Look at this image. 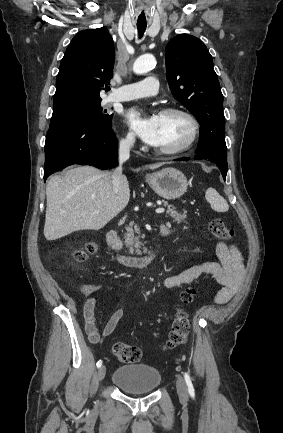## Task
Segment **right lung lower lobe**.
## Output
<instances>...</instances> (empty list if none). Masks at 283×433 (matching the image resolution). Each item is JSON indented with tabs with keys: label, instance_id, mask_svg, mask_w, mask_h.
Here are the masks:
<instances>
[{
	"label": "right lung lower lobe",
	"instance_id": "obj_1",
	"mask_svg": "<svg viewBox=\"0 0 283 433\" xmlns=\"http://www.w3.org/2000/svg\"><path fill=\"white\" fill-rule=\"evenodd\" d=\"M109 124L90 120L50 123L45 142L44 181L72 164L110 169L118 164L117 138Z\"/></svg>",
	"mask_w": 283,
	"mask_h": 433
}]
</instances>
